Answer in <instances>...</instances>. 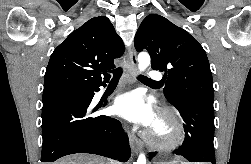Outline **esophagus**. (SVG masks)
<instances>
[{
    "label": "esophagus",
    "mask_w": 251,
    "mask_h": 164,
    "mask_svg": "<svg viewBox=\"0 0 251 164\" xmlns=\"http://www.w3.org/2000/svg\"><path fill=\"white\" fill-rule=\"evenodd\" d=\"M128 56H129V62L127 64L126 71L129 79H133L134 77L133 74L137 65V54L133 46L129 48ZM129 142L133 152L137 154L141 147L140 140L134 134L129 133Z\"/></svg>",
    "instance_id": "34e87169"
}]
</instances>
